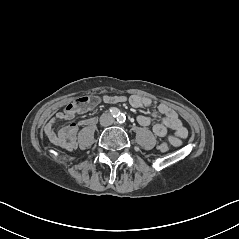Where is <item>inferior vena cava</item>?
<instances>
[{
	"mask_svg": "<svg viewBox=\"0 0 239 239\" xmlns=\"http://www.w3.org/2000/svg\"><path fill=\"white\" fill-rule=\"evenodd\" d=\"M113 122H114V119L111 116V114H109V113H103L100 116V124L102 126H109V125L113 124Z\"/></svg>",
	"mask_w": 239,
	"mask_h": 239,
	"instance_id": "obj_1",
	"label": "inferior vena cava"
}]
</instances>
